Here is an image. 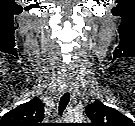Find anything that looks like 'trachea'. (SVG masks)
I'll use <instances>...</instances> for the list:
<instances>
[{"label":"trachea","instance_id":"3493384b","mask_svg":"<svg viewBox=\"0 0 135 126\" xmlns=\"http://www.w3.org/2000/svg\"><path fill=\"white\" fill-rule=\"evenodd\" d=\"M70 100V94L69 93H65L61 99H60V102H59V115L61 116L62 113L64 112L68 102Z\"/></svg>","mask_w":135,"mask_h":126}]
</instances>
